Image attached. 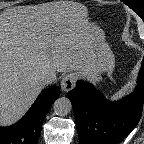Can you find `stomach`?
I'll return each mask as SVG.
<instances>
[{
  "label": "stomach",
  "instance_id": "stomach-1",
  "mask_svg": "<svg viewBox=\"0 0 144 144\" xmlns=\"http://www.w3.org/2000/svg\"><path fill=\"white\" fill-rule=\"evenodd\" d=\"M93 33L92 41L96 57L94 72L98 75L110 73L115 63L113 52L105 39L104 32L99 27L94 25Z\"/></svg>",
  "mask_w": 144,
  "mask_h": 144
}]
</instances>
